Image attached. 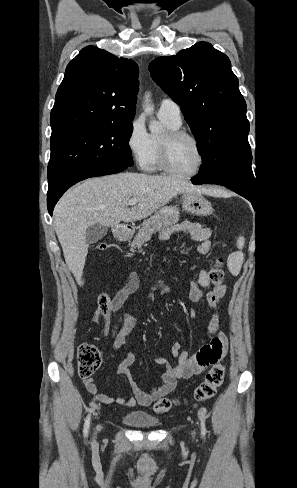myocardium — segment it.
I'll list each match as a JSON object with an SVG mask.
<instances>
[{
  "label": "myocardium",
  "mask_w": 297,
  "mask_h": 488,
  "mask_svg": "<svg viewBox=\"0 0 297 488\" xmlns=\"http://www.w3.org/2000/svg\"><path fill=\"white\" fill-rule=\"evenodd\" d=\"M181 139H188L194 143L198 151V163L194 170L187 173L177 171L171 164V149L175 142ZM159 163L161 168L170 175L179 178H191L196 176L202 170L205 164V152L201 142L193 134L182 130H170L159 142Z\"/></svg>",
  "instance_id": "1"
}]
</instances>
